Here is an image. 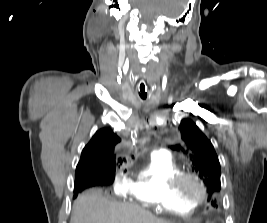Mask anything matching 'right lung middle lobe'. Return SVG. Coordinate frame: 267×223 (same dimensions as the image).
Here are the masks:
<instances>
[{"instance_id":"dd1d6c3e","label":"right lung middle lobe","mask_w":267,"mask_h":223,"mask_svg":"<svg viewBox=\"0 0 267 223\" xmlns=\"http://www.w3.org/2000/svg\"><path fill=\"white\" fill-rule=\"evenodd\" d=\"M103 176L108 180H114L115 178V167L109 168L105 171ZM76 197V196H75Z\"/></svg>"}]
</instances>
